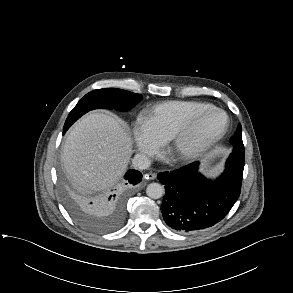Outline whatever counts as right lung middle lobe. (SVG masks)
Wrapping results in <instances>:
<instances>
[{"mask_svg":"<svg viewBox=\"0 0 293 293\" xmlns=\"http://www.w3.org/2000/svg\"><path fill=\"white\" fill-rule=\"evenodd\" d=\"M142 100V96L122 89L107 88L93 90L87 93L73 108L66 119L63 131L68 128L82 115L93 109H115L127 111ZM65 203L73 217L83 227L93 231H108L116 224L111 222L112 214L100 215L92 211L88 205L69 194L65 195Z\"/></svg>","mask_w":293,"mask_h":293,"instance_id":"1","label":"right lung middle lobe"}]
</instances>
